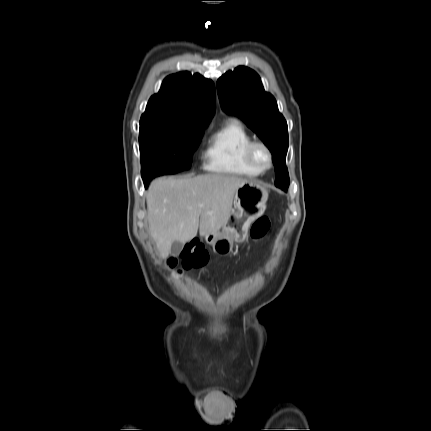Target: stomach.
I'll return each mask as SVG.
<instances>
[{"label":"stomach","mask_w":431,"mask_h":431,"mask_svg":"<svg viewBox=\"0 0 431 431\" xmlns=\"http://www.w3.org/2000/svg\"><path fill=\"white\" fill-rule=\"evenodd\" d=\"M267 199L266 188L255 182L248 181L236 190L234 209L220 232L205 237L215 253L226 255L232 251L234 243L245 240L250 224L264 213Z\"/></svg>","instance_id":"0dacf381"}]
</instances>
